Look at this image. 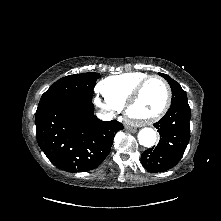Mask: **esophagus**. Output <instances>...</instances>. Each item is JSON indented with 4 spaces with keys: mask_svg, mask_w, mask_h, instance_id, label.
<instances>
[{
    "mask_svg": "<svg viewBox=\"0 0 221 221\" xmlns=\"http://www.w3.org/2000/svg\"><path fill=\"white\" fill-rule=\"evenodd\" d=\"M125 129L131 133H135L137 131L136 128L129 127V126H126Z\"/></svg>",
    "mask_w": 221,
    "mask_h": 221,
    "instance_id": "1",
    "label": "esophagus"
}]
</instances>
